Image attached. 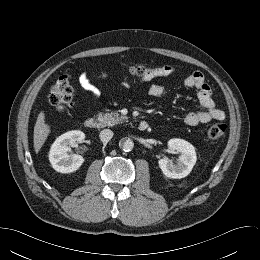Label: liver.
I'll return each mask as SVG.
<instances>
[{
  "mask_svg": "<svg viewBox=\"0 0 260 260\" xmlns=\"http://www.w3.org/2000/svg\"><path fill=\"white\" fill-rule=\"evenodd\" d=\"M50 133V127L45 123V113L41 111L34 126V150L38 153Z\"/></svg>",
  "mask_w": 260,
  "mask_h": 260,
  "instance_id": "6515ba94",
  "label": "liver"
}]
</instances>
